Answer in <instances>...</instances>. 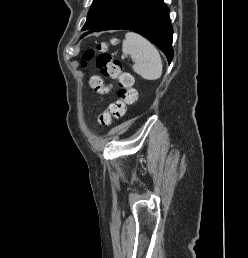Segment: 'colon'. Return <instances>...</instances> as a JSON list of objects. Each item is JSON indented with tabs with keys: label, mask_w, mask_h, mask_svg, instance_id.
Returning <instances> with one entry per match:
<instances>
[{
	"label": "colon",
	"mask_w": 248,
	"mask_h": 258,
	"mask_svg": "<svg viewBox=\"0 0 248 258\" xmlns=\"http://www.w3.org/2000/svg\"><path fill=\"white\" fill-rule=\"evenodd\" d=\"M114 42V40L101 41L97 43L95 49L87 50L83 56L85 62L95 60V65L103 77L112 78L118 82L117 100L112 102L98 117L99 124L104 127L110 125L113 119L124 117L127 107L137 100V92L133 86V76L123 70L120 60L106 52L108 46ZM96 52H98L97 55ZM89 83L91 88L99 94L109 92V88L105 85L101 76H92Z\"/></svg>",
	"instance_id": "obj_1"
}]
</instances>
